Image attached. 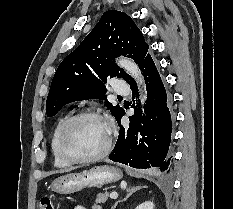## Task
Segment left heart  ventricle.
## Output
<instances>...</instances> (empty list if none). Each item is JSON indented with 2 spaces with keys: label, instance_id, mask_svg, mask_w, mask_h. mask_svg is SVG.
<instances>
[{
  "label": "left heart ventricle",
  "instance_id": "left-heart-ventricle-1",
  "mask_svg": "<svg viewBox=\"0 0 233 209\" xmlns=\"http://www.w3.org/2000/svg\"><path fill=\"white\" fill-rule=\"evenodd\" d=\"M107 140L105 124L96 118L77 121L70 130L66 149L75 157H87L99 152Z\"/></svg>",
  "mask_w": 233,
  "mask_h": 209
}]
</instances>
